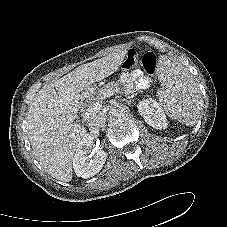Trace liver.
I'll return each mask as SVG.
<instances>
[{"mask_svg":"<svg viewBox=\"0 0 227 227\" xmlns=\"http://www.w3.org/2000/svg\"><path fill=\"white\" fill-rule=\"evenodd\" d=\"M126 54L124 49L80 65L45 84L34 97L28 115L29 139L36 159L53 178L72 180L74 153L87 135L84 126L73 123L84 90L117 71Z\"/></svg>","mask_w":227,"mask_h":227,"instance_id":"1","label":"liver"}]
</instances>
